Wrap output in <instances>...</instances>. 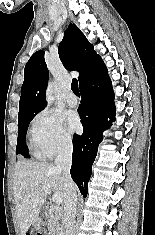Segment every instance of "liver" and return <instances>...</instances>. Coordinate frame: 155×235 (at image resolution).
I'll return each mask as SVG.
<instances>
[{
    "mask_svg": "<svg viewBox=\"0 0 155 235\" xmlns=\"http://www.w3.org/2000/svg\"><path fill=\"white\" fill-rule=\"evenodd\" d=\"M14 200L21 235H26L36 221L46 202L47 193L42 186L50 188L65 200L62 172L52 163L20 159L15 166Z\"/></svg>",
    "mask_w": 155,
    "mask_h": 235,
    "instance_id": "1",
    "label": "liver"
}]
</instances>
